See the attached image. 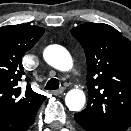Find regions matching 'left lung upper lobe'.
<instances>
[{"label": "left lung upper lobe", "instance_id": "1", "mask_svg": "<svg viewBox=\"0 0 131 131\" xmlns=\"http://www.w3.org/2000/svg\"><path fill=\"white\" fill-rule=\"evenodd\" d=\"M87 59L88 104L80 115L98 131L131 126V42L107 24L71 30Z\"/></svg>", "mask_w": 131, "mask_h": 131}]
</instances>
